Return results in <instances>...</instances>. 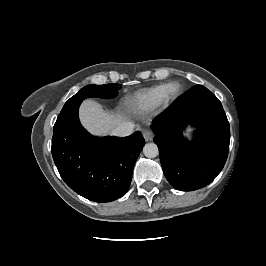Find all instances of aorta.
Listing matches in <instances>:
<instances>
[{
  "instance_id": "obj_1",
  "label": "aorta",
  "mask_w": 266,
  "mask_h": 266,
  "mask_svg": "<svg viewBox=\"0 0 266 266\" xmlns=\"http://www.w3.org/2000/svg\"><path fill=\"white\" fill-rule=\"evenodd\" d=\"M143 153L147 158H155L159 150L155 143H147L143 148Z\"/></svg>"
}]
</instances>
